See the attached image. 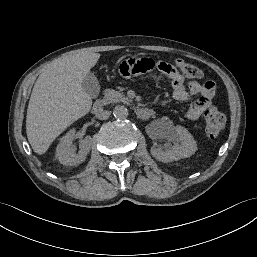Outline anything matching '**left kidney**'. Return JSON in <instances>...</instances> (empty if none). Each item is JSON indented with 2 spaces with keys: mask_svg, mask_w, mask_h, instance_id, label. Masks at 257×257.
<instances>
[{
  "mask_svg": "<svg viewBox=\"0 0 257 257\" xmlns=\"http://www.w3.org/2000/svg\"><path fill=\"white\" fill-rule=\"evenodd\" d=\"M159 139H166L168 142L179 139V143L170 146L152 147L151 154L157 160L168 163L193 155L197 150V144L191 133L183 126H172L168 124L165 130L158 134Z\"/></svg>",
  "mask_w": 257,
  "mask_h": 257,
  "instance_id": "left-kidney-1",
  "label": "left kidney"
}]
</instances>
